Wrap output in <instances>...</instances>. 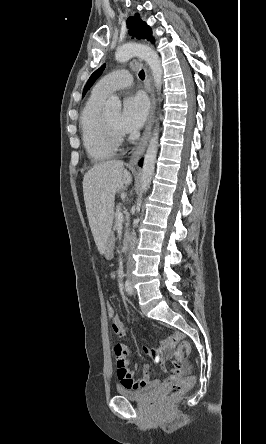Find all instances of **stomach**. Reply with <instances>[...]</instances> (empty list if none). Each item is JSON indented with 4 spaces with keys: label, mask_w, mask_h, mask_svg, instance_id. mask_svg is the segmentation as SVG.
<instances>
[{
    "label": "stomach",
    "mask_w": 266,
    "mask_h": 444,
    "mask_svg": "<svg viewBox=\"0 0 266 444\" xmlns=\"http://www.w3.org/2000/svg\"><path fill=\"white\" fill-rule=\"evenodd\" d=\"M112 247H113V237L110 236L106 242V248L104 251L105 257L108 259L112 258Z\"/></svg>",
    "instance_id": "0dacf381"
}]
</instances>
